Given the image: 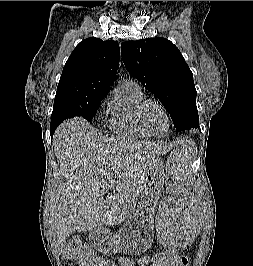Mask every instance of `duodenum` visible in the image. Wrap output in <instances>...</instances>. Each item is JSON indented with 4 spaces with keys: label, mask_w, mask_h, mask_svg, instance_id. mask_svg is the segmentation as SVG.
I'll list each match as a JSON object with an SVG mask.
<instances>
[{
    "label": "duodenum",
    "mask_w": 253,
    "mask_h": 266,
    "mask_svg": "<svg viewBox=\"0 0 253 266\" xmlns=\"http://www.w3.org/2000/svg\"><path fill=\"white\" fill-rule=\"evenodd\" d=\"M91 240L94 244L106 241V235L104 233H95L92 235Z\"/></svg>",
    "instance_id": "duodenum-1"
}]
</instances>
